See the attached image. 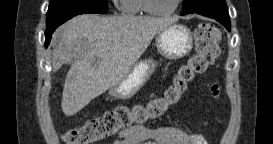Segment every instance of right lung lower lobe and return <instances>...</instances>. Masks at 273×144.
<instances>
[{"instance_id":"1","label":"right lung lower lobe","mask_w":273,"mask_h":144,"mask_svg":"<svg viewBox=\"0 0 273 144\" xmlns=\"http://www.w3.org/2000/svg\"><path fill=\"white\" fill-rule=\"evenodd\" d=\"M87 13H95L91 10H83V11H74L71 13H67L63 16H61L60 18H58L57 20H55L53 26L49 29H46L45 31V47H48L50 40H51V36L52 33L55 31V29L63 24L64 22H66L67 20L71 19L72 17L79 15V14H87Z\"/></svg>"}]
</instances>
